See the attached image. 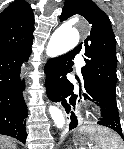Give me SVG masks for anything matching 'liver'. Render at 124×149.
Segmentation results:
<instances>
[{
	"instance_id": "liver-1",
	"label": "liver",
	"mask_w": 124,
	"mask_h": 149,
	"mask_svg": "<svg viewBox=\"0 0 124 149\" xmlns=\"http://www.w3.org/2000/svg\"><path fill=\"white\" fill-rule=\"evenodd\" d=\"M0 149H16V144L12 139L0 135Z\"/></svg>"
}]
</instances>
